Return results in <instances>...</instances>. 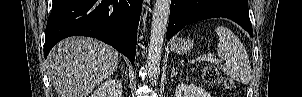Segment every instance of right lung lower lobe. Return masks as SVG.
I'll return each instance as SVG.
<instances>
[{
  "label": "right lung lower lobe",
  "instance_id": "obj_1",
  "mask_svg": "<svg viewBox=\"0 0 302 97\" xmlns=\"http://www.w3.org/2000/svg\"><path fill=\"white\" fill-rule=\"evenodd\" d=\"M142 0H53L45 33L44 55L69 36L97 38L133 64Z\"/></svg>",
  "mask_w": 302,
  "mask_h": 97
}]
</instances>
